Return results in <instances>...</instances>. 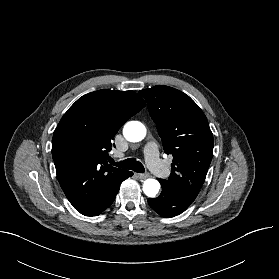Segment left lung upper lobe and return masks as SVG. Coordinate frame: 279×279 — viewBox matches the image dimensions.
Masks as SVG:
<instances>
[{
  "mask_svg": "<svg viewBox=\"0 0 279 279\" xmlns=\"http://www.w3.org/2000/svg\"><path fill=\"white\" fill-rule=\"evenodd\" d=\"M156 123L165 153L173 155L172 188L198 195L213 155V134L203 111L185 93L157 85L139 91Z\"/></svg>",
  "mask_w": 279,
  "mask_h": 279,
  "instance_id": "5c2ea615",
  "label": "left lung upper lobe"
}]
</instances>
